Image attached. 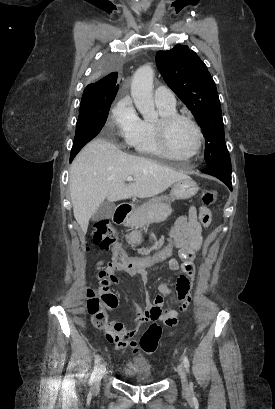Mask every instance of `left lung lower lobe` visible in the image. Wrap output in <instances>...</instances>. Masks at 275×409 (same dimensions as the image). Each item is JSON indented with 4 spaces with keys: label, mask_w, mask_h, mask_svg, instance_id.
I'll use <instances>...</instances> for the list:
<instances>
[{
    "label": "left lung lower lobe",
    "mask_w": 275,
    "mask_h": 409,
    "mask_svg": "<svg viewBox=\"0 0 275 409\" xmlns=\"http://www.w3.org/2000/svg\"><path fill=\"white\" fill-rule=\"evenodd\" d=\"M202 172L220 179L232 191L231 170H227L222 165H214V166H207L205 169L202 170Z\"/></svg>",
    "instance_id": "left-lung-lower-lobe-1"
}]
</instances>
